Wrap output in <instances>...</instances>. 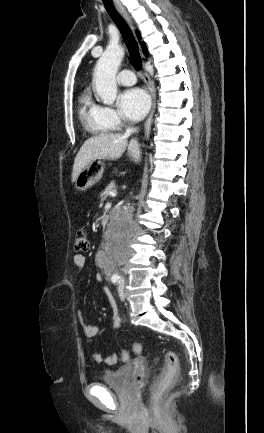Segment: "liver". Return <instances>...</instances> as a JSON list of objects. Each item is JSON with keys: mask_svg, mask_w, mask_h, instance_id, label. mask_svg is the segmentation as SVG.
<instances>
[{"mask_svg": "<svg viewBox=\"0 0 264 433\" xmlns=\"http://www.w3.org/2000/svg\"><path fill=\"white\" fill-rule=\"evenodd\" d=\"M127 148V155L135 162L140 160L139 144L131 140L128 144L126 136L119 133H102L86 140L77 153L71 181H76L79 173L96 159H118Z\"/></svg>", "mask_w": 264, "mask_h": 433, "instance_id": "liver-1", "label": "liver"}]
</instances>
